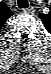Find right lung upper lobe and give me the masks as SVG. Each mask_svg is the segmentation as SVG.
Instances as JSON below:
<instances>
[{
  "mask_svg": "<svg viewBox=\"0 0 51 74\" xmlns=\"http://www.w3.org/2000/svg\"><path fill=\"white\" fill-rule=\"evenodd\" d=\"M2 12H3V18H2V24H4V22L13 15V13L11 12V10H9L8 7H4L2 8Z\"/></svg>",
  "mask_w": 51,
  "mask_h": 74,
  "instance_id": "1",
  "label": "right lung upper lobe"
}]
</instances>
